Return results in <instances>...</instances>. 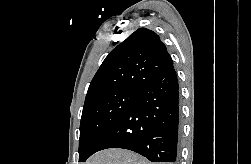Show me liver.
I'll return each instance as SVG.
<instances>
[{
    "label": "liver",
    "instance_id": "liver-1",
    "mask_svg": "<svg viewBox=\"0 0 251 164\" xmlns=\"http://www.w3.org/2000/svg\"><path fill=\"white\" fill-rule=\"evenodd\" d=\"M85 164H151L144 157L124 149H106L93 155Z\"/></svg>",
    "mask_w": 251,
    "mask_h": 164
}]
</instances>
